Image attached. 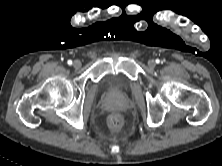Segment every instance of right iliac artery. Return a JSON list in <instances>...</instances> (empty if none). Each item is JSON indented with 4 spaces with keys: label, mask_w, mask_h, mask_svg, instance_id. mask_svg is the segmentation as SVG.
<instances>
[{
    "label": "right iliac artery",
    "mask_w": 222,
    "mask_h": 166,
    "mask_svg": "<svg viewBox=\"0 0 222 166\" xmlns=\"http://www.w3.org/2000/svg\"><path fill=\"white\" fill-rule=\"evenodd\" d=\"M69 65H72V60H68L67 62Z\"/></svg>",
    "instance_id": "1"
}]
</instances>
